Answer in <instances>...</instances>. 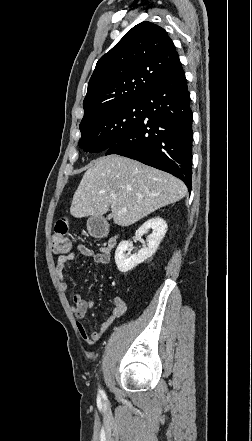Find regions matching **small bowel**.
<instances>
[{"label":"small bowel","instance_id":"1","mask_svg":"<svg viewBox=\"0 0 252 441\" xmlns=\"http://www.w3.org/2000/svg\"><path fill=\"white\" fill-rule=\"evenodd\" d=\"M77 253L92 258L96 263L105 265L110 261V254L106 249H103L101 253H95L93 250L83 244L76 246ZM76 258V253H69L65 257H62L57 265L56 271L59 275L60 287L63 291L67 290V283L62 276L63 269L67 262H72ZM72 311L76 318V324L80 335L88 342H95L101 338V336L107 331V329L120 317H122L127 310L126 302L119 296H115L112 299L113 309L111 314L100 324L99 330H88L85 325V315L88 309L95 306L94 300H86L81 295L75 294L72 297Z\"/></svg>","mask_w":252,"mask_h":441}]
</instances>
